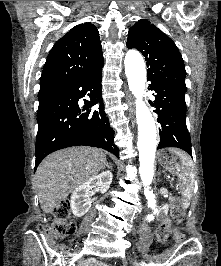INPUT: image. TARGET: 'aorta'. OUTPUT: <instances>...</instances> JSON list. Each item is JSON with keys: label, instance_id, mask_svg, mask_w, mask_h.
Segmentation results:
<instances>
[{"label": "aorta", "instance_id": "1", "mask_svg": "<svg viewBox=\"0 0 221 266\" xmlns=\"http://www.w3.org/2000/svg\"><path fill=\"white\" fill-rule=\"evenodd\" d=\"M124 64L129 90L136 98V120L138 124L137 147L140 163L139 173L144 185V194L148 201V206L155 211L156 200L150 185L154 176V160L157 145L156 125L152 114L143 101L146 83L145 63L139 52L130 50L125 56ZM150 218H152V216Z\"/></svg>", "mask_w": 221, "mask_h": 266}]
</instances>
